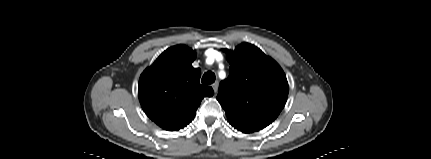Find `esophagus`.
<instances>
[{
    "label": "esophagus",
    "mask_w": 431,
    "mask_h": 159,
    "mask_svg": "<svg viewBox=\"0 0 431 159\" xmlns=\"http://www.w3.org/2000/svg\"><path fill=\"white\" fill-rule=\"evenodd\" d=\"M218 86H219V83L218 82H215L213 85H212V88H213V90H214V93L216 94L217 93V91H218Z\"/></svg>",
    "instance_id": "obj_1"
}]
</instances>
